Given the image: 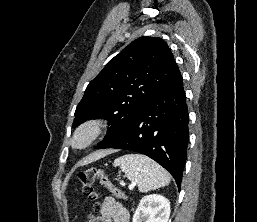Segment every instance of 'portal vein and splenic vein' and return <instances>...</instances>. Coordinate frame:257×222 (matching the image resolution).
I'll list each match as a JSON object with an SVG mask.
<instances>
[{"label":"portal vein and splenic vein","mask_w":257,"mask_h":222,"mask_svg":"<svg viewBox=\"0 0 257 222\" xmlns=\"http://www.w3.org/2000/svg\"><path fill=\"white\" fill-rule=\"evenodd\" d=\"M134 184L129 185V189L132 190L134 188Z\"/></svg>","instance_id":"obj_1"}]
</instances>
